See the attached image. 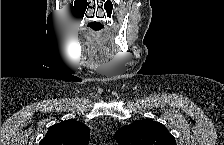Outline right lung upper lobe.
Here are the masks:
<instances>
[{
    "mask_svg": "<svg viewBox=\"0 0 224 145\" xmlns=\"http://www.w3.org/2000/svg\"><path fill=\"white\" fill-rule=\"evenodd\" d=\"M89 139L88 127L69 119L51 126L39 145H87Z\"/></svg>",
    "mask_w": 224,
    "mask_h": 145,
    "instance_id": "1",
    "label": "right lung upper lobe"
}]
</instances>
